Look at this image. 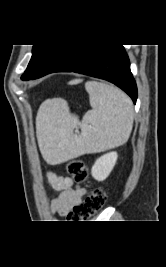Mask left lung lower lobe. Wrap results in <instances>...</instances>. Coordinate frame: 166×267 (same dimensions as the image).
Segmentation results:
<instances>
[{
    "label": "left lung lower lobe",
    "mask_w": 166,
    "mask_h": 267,
    "mask_svg": "<svg viewBox=\"0 0 166 267\" xmlns=\"http://www.w3.org/2000/svg\"><path fill=\"white\" fill-rule=\"evenodd\" d=\"M54 72H76L107 80L124 90L136 103L137 87L122 45H58L32 79Z\"/></svg>",
    "instance_id": "left-lung-lower-lobe-1"
}]
</instances>
